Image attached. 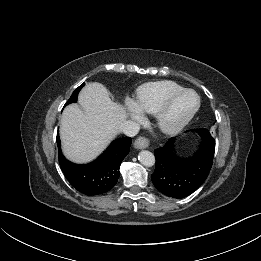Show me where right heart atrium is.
<instances>
[{"label": "right heart atrium", "instance_id": "1", "mask_svg": "<svg viewBox=\"0 0 261 261\" xmlns=\"http://www.w3.org/2000/svg\"><path fill=\"white\" fill-rule=\"evenodd\" d=\"M127 109L134 119H136L138 121L142 120V118H143L142 114L133 101H131V100L127 101Z\"/></svg>", "mask_w": 261, "mask_h": 261}]
</instances>
